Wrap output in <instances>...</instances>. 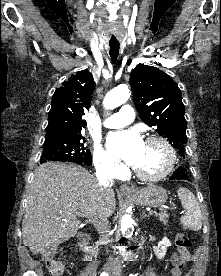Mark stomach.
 <instances>
[{
  "mask_svg": "<svg viewBox=\"0 0 221 276\" xmlns=\"http://www.w3.org/2000/svg\"><path fill=\"white\" fill-rule=\"evenodd\" d=\"M126 198L138 205L160 207L167 201V192L158 185H149Z\"/></svg>",
  "mask_w": 221,
  "mask_h": 276,
  "instance_id": "1",
  "label": "stomach"
}]
</instances>
